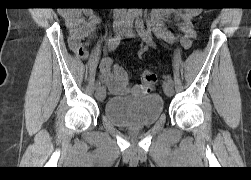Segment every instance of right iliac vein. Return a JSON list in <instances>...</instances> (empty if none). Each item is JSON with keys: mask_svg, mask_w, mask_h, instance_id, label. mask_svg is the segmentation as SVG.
<instances>
[{"mask_svg": "<svg viewBox=\"0 0 251 180\" xmlns=\"http://www.w3.org/2000/svg\"><path fill=\"white\" fill-rule=\"evenodd\" d=\"M124 21H116L113 25V30L116 34L121 33L124 30ZM95 97L99 101H103L106 97V89L104 86H100L96 89Z\"/></svg>", "mask_w": 251, "mask_h": 180, "instance_id": "1", "label": "right iliac vein"}]
</instances>
